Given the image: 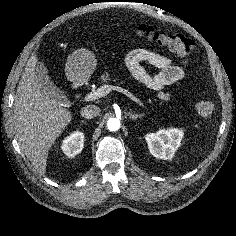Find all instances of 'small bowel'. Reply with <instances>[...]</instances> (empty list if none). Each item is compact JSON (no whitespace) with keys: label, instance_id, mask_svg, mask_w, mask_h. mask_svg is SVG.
I'll use <instances>...</instances> for the list:
<instances>
[{"label":"small bowel","instance_id":"c3829d8e","mask_svg":"<svg viewBox=\"0 0 236 236\" xmlns=\"http://www.w3.org/2000/svg\"><path fill=\"white\" fill-rule=\"evenodd\" d=\"M150 64L161 69L157 75H150L144 64ZM126 65L131 75L146 88L156 91L157 98L163 101L170 99V94L163 91L165 86L185 79L186 74L182 67L169 57L147 49H135L126 56Z\"/></svg>","mask_w":236,"mask_h":236}]
</instances>
